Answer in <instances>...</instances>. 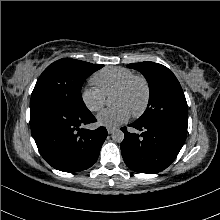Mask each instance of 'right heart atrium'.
Segmentation results:
<instances>
[{"label":"right heart atrium","mask_w":220,"mask_h":220,"mask_svg":"<svg viewBox=\"0 0 220 220\" xmlns=\"http://www.w3.org/2000/svg\"><path fill=\"white\" fill-rule=\"evenodd\" d=\"M81 100L89 111L98 112L104 107L106 96L99 88L88 86L82 89Z\"/></svg>","instance_id":"1"}]
</instances>
